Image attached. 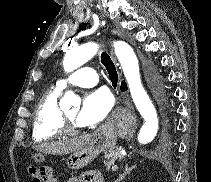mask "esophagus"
Returning a JSON list of instances; mask_svg holds the SVG:
<instances>
[{
    "instance_id": "obj_1",
    "label": "esophagus",
    "mask_w": 211,
    "mask_h": 182,
    "mask_svg": "<svg viewBox=\"0 0 211 182\" xmlns=\"http://www.w3.org/2000/svg\"><path fill=\"white\" fill-rule=\"evenodd\" d=\"M111 56H112V58H113L114 63H115L116 66H117L116 57L114 56L113 50H111ZM107 124H108V123H107ZM107 124H106V125H107Z\"/></svg>"
}]
</instances>
